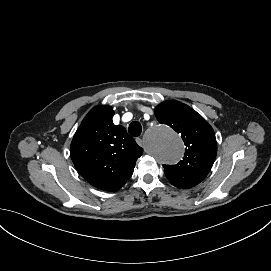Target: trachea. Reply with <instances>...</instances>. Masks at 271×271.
<instances>
[{"mask_svg":"<svg viewBox=\"0 0 271 271\" xmlns=\"http://www.w3.org/2000/svg\"><path fill=\"white\" fill-rule=\"evenodd\" d=\"M142 132V126L138 121L132 122L128 127V133L133 137L140 136Z\"/></svg>","mask_w":271,"mask_h":271,"instance_id":"1","label":"trachea"}]
</instances>
